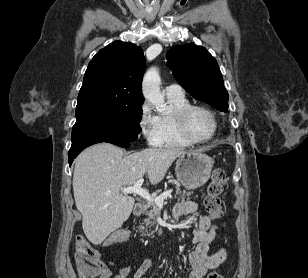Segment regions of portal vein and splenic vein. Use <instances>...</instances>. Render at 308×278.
<instances>
[{
  "label": "portal vein and splenic vein",
  "instance_id": "1",
  "mask_svg": "<svg viewBox=\"0 0 308 278\" xmlns=\"http://www.w3.org/2000/svg\"><path fill=\"white\" fill-rule=\"evenodd\" d=\"M144 182L143 178H140L133 186L121 188L123 194H137L147 201L154 202L156 205H163L165 199L171 196L172 190H168L163 194L152 197L146 190L142 188Z\"/></svg>",
  "mask_w": 308,
  "mask_h": 278
}]
</instances>
